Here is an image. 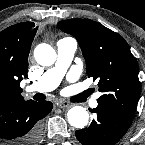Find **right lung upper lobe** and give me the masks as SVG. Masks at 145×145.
I'll return each instance as SVG.
<instances>
[{
	"instance_id": "right-lung-upper-lobe-1",
	"label": "right lung upper lobe",
	"mask_w": 145,
	"mask_h": 145,
	"mask_svg": "<svg viewBox=\"0 0 145 145\" xmlns=\"http://www.w3.org/2000/svg\"><path fill=\"white\" fill-rule=\"evenodd\" d=\"M37 26L22 22L0 32V102L23 99L21 80L27 76L28 55Z\"/></svg>"
}]
</instances>
